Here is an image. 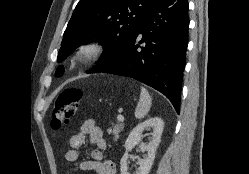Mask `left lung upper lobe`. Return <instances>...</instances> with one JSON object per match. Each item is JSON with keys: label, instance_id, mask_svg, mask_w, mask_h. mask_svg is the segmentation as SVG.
Wrapping results in <instances>:
<instances>
[{"label": "left lung upper lobe", "instance_id": "5c2ea615", "mask_svg": "<svg viewBox=\"0 0 249 174\" xmlns=\"http://www.w3.org/2000/svg\"><path fill=\"white\" fill-rule=\"evenodd\" d=\"M155 0H80L64 32L57 61H63L75 48L93 39L105 49L95 69L108 68L121 57L139 32ZM64 72L62 66L56 76Z\"/></svg>", "mask_w": 249, "mask_h": 174}]
</instances>
